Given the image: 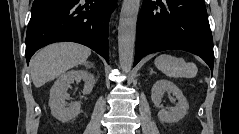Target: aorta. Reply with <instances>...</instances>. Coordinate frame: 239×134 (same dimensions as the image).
Here are the masks:
<instances>
[{
  "instance_id": "762f6f07",
  "label": "aorta",
  "mask_w": 239,
  "mask_h": 134,
  "mask_svg": "<svg viewBox=\"0 0 239 134\" xmlns=\"http://www.w3.org/2000/svg\"><path fill=\"white\" fill-rule=\"evenodd\" d=\"M140 0H123L118 26L119 63L123 72H130L133 64L136 24Z\"/></svg>"
}]
</instances>
